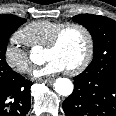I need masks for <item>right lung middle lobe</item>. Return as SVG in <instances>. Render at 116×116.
Wrapping results in <instances>:
<instances>
[{
    "mask_svg": "<svg viewBox=\"0 0 116 116\" xmlns=\"http://www.w3.org/2000/svg\"><path fill=\"white\" fill-rule=\"evenodd\" d=\"M25 21L15 15H0V82L9 81L17 75L6 63L5 52L11 34Z\"/></svg>",
    "mask_w": 116,
    "mask_h": 116,
    "instance_id": "dd1d6c3e",
    "label": "right lung middle lobe"
}]
</instances>
